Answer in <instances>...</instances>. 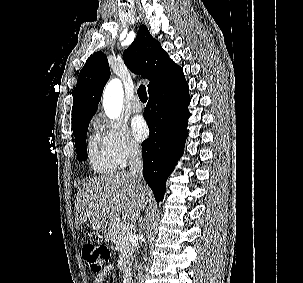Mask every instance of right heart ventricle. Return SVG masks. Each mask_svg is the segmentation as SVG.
Returning a JSON list of instances; mask_svg holds the SVG:
<instances>
[{
    "label": "right heart ventricle",
    "mask_w": 303,
    "mask_h": 283,
    "mask_svg": "<svg viewBox=\"0 0 303 283\" xmlns=\"http://www.w3.org/2000/svg\"><path fill=\"white\" fill-rule=\"evenodd\" d=\"M89 158L92 168L97 172H111L117 166L105 155L99 145L91 139L88 145Z\"/></svg>",
    "instance_id": "obj_1"
}]
</instances>
